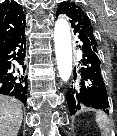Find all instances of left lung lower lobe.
Returning <instances> with one entry per match:
<instances>
[{"mask_svg":"<svg viewBox=\"0 0 117 136\" xmlns=\"http://www.w3.org/2000/svg\"><path fill=\"white\" fill-rule=\"evenodd\" d=\"M58 15V14H56ZM82 50V67L74 69L71 85L67 91L66 99L70 114L90 107L103 109L109 113V102L104 83L101 62L98 54L93 50L89 39L81 32L74 31Z\"/></svg>","mask_w":117,"mask_h":136,"instance_id":"left-lung-lower-lobe-1","label":"left lung lower lobe"}]
</instances>
